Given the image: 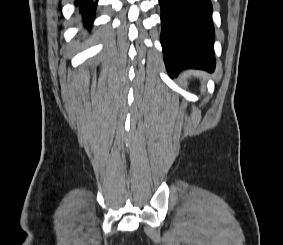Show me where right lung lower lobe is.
Here are the masks:
<instances>
[{
	"mask_svg": "<svg viewBox=\"0 0 283 245\" xmlns=\"http://www.w3.org/2000/svg\"><path fill=\"white\" fill-rule=\"evenodd\" d=\"M75 5L79 6V11L82 15L84 24L90 26L94 19L96 2L93 0H76Z\"/></svg>",
	"mask_w": 283,
	"mask_h": 245,
	"instance_id": "1",
	"label": "right lung lower lobe"
}]
</instances>
